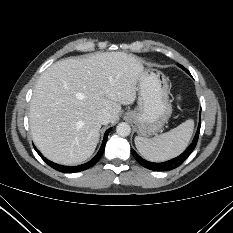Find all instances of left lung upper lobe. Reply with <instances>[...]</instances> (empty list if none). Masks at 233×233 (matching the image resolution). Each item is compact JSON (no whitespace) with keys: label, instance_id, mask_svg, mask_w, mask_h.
<instances>
[{"label":"left lung upper lobe","instance_id":"1","mask_svg":"<svg viewBox=\"0 0 233 233\" xmlns=\"http://www.w3.org/2000/svg\"><path fill=\"white\" fill-rule=\"evenodd\" d=\"M178 66L181 67L182 69H184L187 72V70L182 65H178Z\"/></svg>","mask_w":233,"mask_h":233}]
</instances>
